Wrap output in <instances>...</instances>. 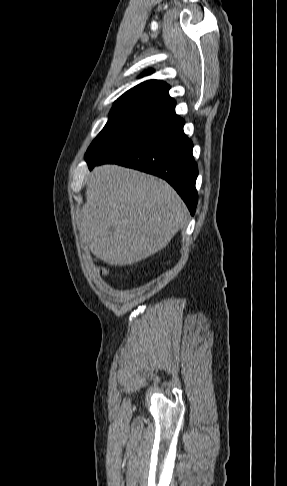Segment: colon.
Masks as SVG:
<instances>
[{"instance_id":"colon-1","label":"colon","mask_w":287,"mask_h":486,"mask_svg":"<svg viewBox=\"0 0 287 486\" xmlns=\"http://www.w3.org/2000/svg\"><path fill=\"white\" fill-rule=\"evenodd\" d=\"M101 273H102V274H107V273H108V269H107V268H105V267H102V268H101Z\"/></svg>"}]
</instances>
